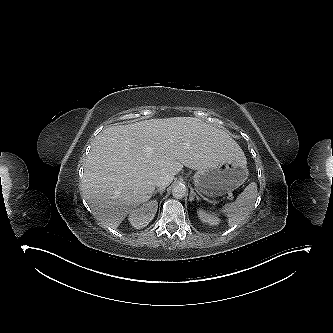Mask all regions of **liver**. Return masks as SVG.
I'll use <instances>...</instances> for the list:
<instances>
[{"instance_id":"obj_1","label":"liver","mask_w":333,"mask_h":333,"mask_svg":"<svg viewBox=\"0 0 333 333\" xmlns=\"http://www.w3.org/2000/svg\"><path fill=\"white\" fill-rule=\"evenodd\" d=\"M245 159L226 130L193 117L150 119L109 126L92 144L82 179V194L94 216L116 229L147 202L160 175L183 166L202 170Z\"/></svg>"}]
</instances>
